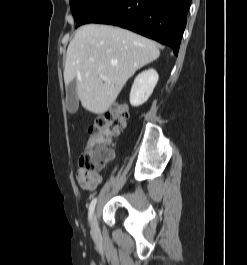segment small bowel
<instances>
[{
    "label": "small bowel",
    "mask_w": 247,
    "mask_h": 265,
    "mask_svg": "<svg viewBox=\"0 0 247 265\" xmlns=\"http://www.w3.org/2000/svg\"><path fill=\"white\" fill-rule=\"evenodd\" d=\"M76 178H77L78 183L85 190H93V189H95L99 185V183L101 181L100 175L87 174L81 168L77 171Z\"/></svg>",
    "instance_id": "1"
}]
</instances>
